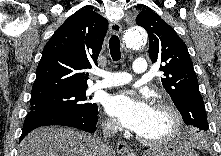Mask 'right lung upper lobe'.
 Wrapping results in <instances>:
<instances>
[{"label": "right lung upper lobe", "mask_w": 221, "mask_h": 156, "mask_svg": "<svg viewBox=\"0 0 221 156\" xmlns=\"http://www.w3.org/2000/svg\"><path fill=\"white\" fill-rule=\"evenodd\" d=\"M107 29L108 21L89 9L68 17L43 49L31 99L87 89L86 70L98 66Z\"/></svg>", "instance_id": "obj_1"}]
</instances>
